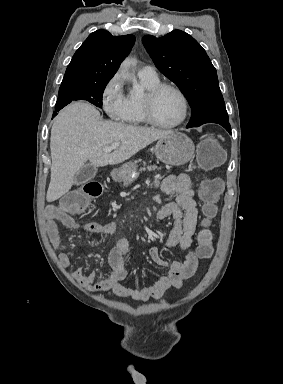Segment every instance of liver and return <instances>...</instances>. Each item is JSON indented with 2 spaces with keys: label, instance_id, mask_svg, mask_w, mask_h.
Listing matches in <instances>:
<instances>
[{
  "label": "liver",
  "instance_id": "6515ba94",
  "mask_svg": "<svg viewBox=\"0 0 283 384\" xmlns=\"http://www.w3.org/2000/svg\"><path fill=\"white\" fill-rule=\"evenodd\" d=\"M169 134L173 132L103 120L92 104L83 100L73 102L59 112L52 126V166L47 202H55L71 190L75 174L87 160L95 168L115 166ZM110 144L120 146L111 154L103 152V148Z\"/></svg>",
  "mask_w": 283,
  "mask_h": 384
}]
</instances>
